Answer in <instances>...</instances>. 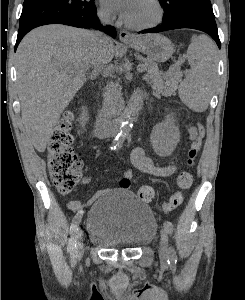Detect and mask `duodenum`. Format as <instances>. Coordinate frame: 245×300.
Segmentation results:
<instances>
[{
	"label": "duodenum",
	"mask_w": 245,
	"mask_h": 300,
	"mask_svg": "<svg viewBox=\"0 0 245 300\" xmlns=\"http://www.w3.org/2000/svg\"><path fill=\"white\" fill-rule=\"evenodd\" d=\"M143 103V96L137 95L127 114L123 117L116 118L110 117L102 108L99 107L96 109L95 113L96 125L107 136L117 134L127 119L133 121L139 117Z\"/></svg>",
	"instance_id": "1"
}]
</instances>
